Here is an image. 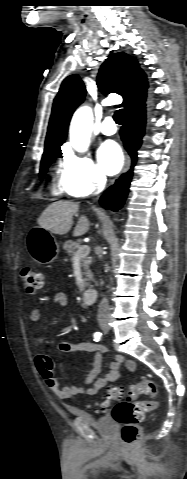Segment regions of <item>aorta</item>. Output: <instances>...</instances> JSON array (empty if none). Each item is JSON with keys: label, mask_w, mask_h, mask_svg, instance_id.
<instances>
[{"label": "aorta", "mask_w": 187, "mask_h": 479, "mask_svg": "<svg viewBox=\"0 0 187 479\" xmlns=\"http://www.w3.org/2000/svg\"><path fill=\"white\" fill-rule=\"evenodd\" d=\"M92 124L93 113L90 107H80L74 113L70 124V143L76 151H87L90 144Z\"/></svg>", "instance_id": "762f6f07"}]
</instances>
